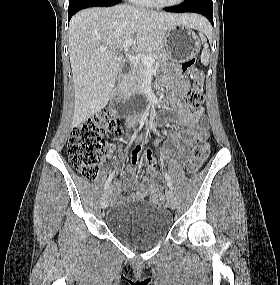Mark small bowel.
Here are the masks:
<instances>
[{
    "mask_svg": "<svg viewBox=\"0 0 280 285\" xmlns=\"http://www.w3.org/2000/svg\"><path fill=\"white\" fill-rule=\"evenodd\" d=\"M171 91L169 95L171 106L177 110L178 118L182 125V131L174 133V139L178 143L181 153L185 152L191 142V138L197 135L207 136V122L204 115L203 107L196 111H191L183 102V95L189 88V82L182 76L171 79ZM136 151L141 150L138 145ZM147 172L149 177L144 179L145 184L140 182L133 183L134 192L130 195L132 200H141L147 196L157 193L163 186V177L157 171V160L151 154L144 156ZM138 161L131 160L126 170V174L122 180L118 181L113 191L115 201H123L125 199L124 192L127 190L129 182L135 175V167Z\"/></svg>",
    "mask_w": 280,
    "mask_h": 285,
    "instance_id": "small-bowel-1",
    "label": "small bowel"
}]
</instances>
